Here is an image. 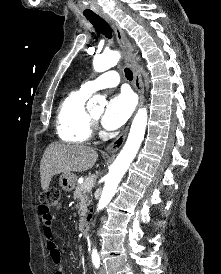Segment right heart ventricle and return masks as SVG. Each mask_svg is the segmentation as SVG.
I'll list each match as a JSON object with an SVG mask.
<instances>
[{"instance_id":"obj_1","label":"right heart ventricle","mask_w":221,"mask_h":274,"mask_svg":"<svg viewBox=\"0 0 221 274\" xmlns=\"http://www.w3.org/2000/svg\"><path fill=\"white\" fill-rule=\"evenodd\" d=\"M89 95L81 88L61 101L56 116V131L61 140L81 144L89 139L92 121L85 106Z\"/></svg>"}]
</instances>
